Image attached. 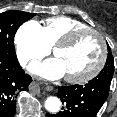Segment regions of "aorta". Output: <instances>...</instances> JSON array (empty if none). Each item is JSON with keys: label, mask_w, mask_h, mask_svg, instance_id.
<instances>
[{"label": "aorta", "mask_w": 117, "mask_h": 117, "mask_svg": "<svg viewBox=\"0 0 117 117\" xmlns=\"http://www.w3.org/2000/svg\"><path fill=\"white\" fill-rule=\"evenodd\" d=\"M61 101L59 98L51 96L45 101V108L51 113H56L60 110Z\"/></svg>", "instance_id": "762f6f07"}]
</instances>
